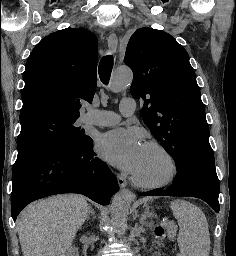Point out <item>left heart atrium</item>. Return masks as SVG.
Returning a JSON list of instances; mask_svg holds the SVG:
<instances>
[{"label":"left heart atrium","instance_id":"39dd6f15","mask_svg":"<svg viewBox=\"0 0 236 256\" xmlns=\"http://www.w3.org/2000/svg\"><path fill=\"white\" fill-rule=\"evenodd\" d=\"M145 145L141 133L135 129H115L103 135L99 151L112 165L133 173Z\"/></svg>","mask_w":236,"mask_h":256}]
</instances>
